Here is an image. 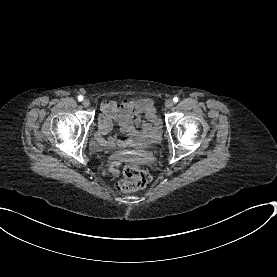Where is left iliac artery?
I'll return each mask as SVG.
<instances>
[{
  "label": "left iliac artery",
  "mask_w": 277,
  "mask_h": 277,
  "mask_svg": "<svg viewBox=\"0 0 277 277\" xmlns=\"http://www.w3.org/2000/svg\"><path fill=\"white\" fill-rule=\"evenodd\" d=\"M178 100H179L178 97H174V98H173V101H174L175 103H177Z\"/></svg>",
  "instance_id": "44dca946"
}]
</instances>
